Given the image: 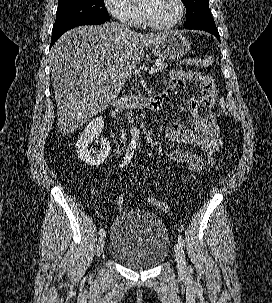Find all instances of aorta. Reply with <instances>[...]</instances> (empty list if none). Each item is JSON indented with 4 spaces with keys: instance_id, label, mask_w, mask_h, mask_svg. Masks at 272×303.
<instances>
[{
    "instance_id": "aorta-1",
    "label": "aorta",
    "mask_w": 272,
    "mask_h": 303,
    "mask_svg": "<svg viewBox=\"0 0 272 303\" xmlns=\"http://www.w3.org/2000/svg\"><path fill=\"white\" fill-rule=\"evenodd\" d=\"M139 127L137 126V124L132 127L131 129V143L136 145L139 141Z\"/></svg>"
}]
</instances>
